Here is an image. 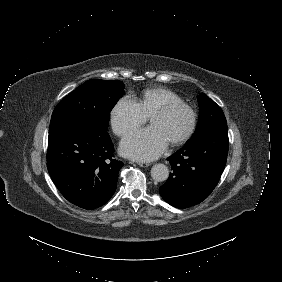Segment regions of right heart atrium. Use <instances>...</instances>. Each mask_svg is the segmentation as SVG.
Returning <instances> with one entry per match:
<instances>
[{
  "label": "right heart atrium",
  "mask_w": 282,
  "mask_h": 282,
  "mask_svg": "<svg viewBox=\"0 0 282 282\" xmlns=\"http://www.w3.org/2000/svg\"><path fill=\"white\" fill-rule=\"evenodd\" d=\"M146 120L147 117L137 103L129 97L120 100L111 111L112 129L118 136H124L130 130L142 125Z\"/></svg>",
  "instance_id": "right-heart-atrium-1"
}]
</instances>
